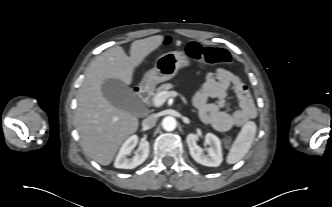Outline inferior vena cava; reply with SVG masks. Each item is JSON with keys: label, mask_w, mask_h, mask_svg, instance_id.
Returning <instances> with one entry per match:
<instances>
[{"label": "inferior vena cava", "mask_w": 332, "mask_h": 207, "mask_svg": "<svg viewBox=\"0 0 332 207\" xmlns=\"http://www.w3.org/2000/svg\"><path fill=\"white\" fill-rule=\"evenodd\" d=\"M156 120H157L156 116L154 114H152L143 120L142 126L145 129H150L156 124Z\"/></svg>", "instance_id": "602c4592"}]
</instances>
